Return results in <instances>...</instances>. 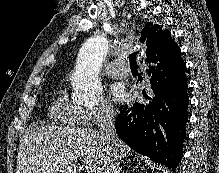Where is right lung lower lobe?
I'll list each match as a JSON object with an SVG mask.
<instances>
[{
    "instance_id": "right-lung-lower-lobe-1",
    "label": "right lung lower lobe",
    "mask_w": 219,
    "mask_h": 173,
    "mask_svg": "<svg viewBox=\"0 0 219 173\" xmlns=\"http://www.w3.org/2000/svg\"><path fill=\"white\" fill-rule=\"evenodd\" d=\"M149 90L121 106L116 132L135 151L175 170L183 155L188 121L186 64L181 54L147 59Z\"/></svg>"
}]
</instances>
